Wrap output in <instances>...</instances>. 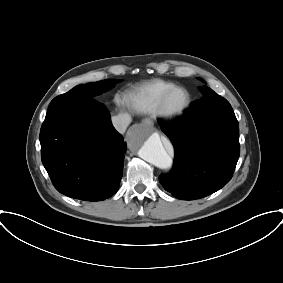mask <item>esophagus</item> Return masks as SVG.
<instances>
[{"instance_id": "1", "label": "esophagus", "mask_w": 283, "mask_h": 283, "mask_svg": "<svg viewBox=\"0 0 283 283\" xmlns=\"http://www.w3.org/2000/svg\"><path fill=\"white\" fill-rule=\"evenodd\" d=\"M144 122L147 123V124L151 123V121L149 119H145Z\"/></svg>"}]
</instances>
